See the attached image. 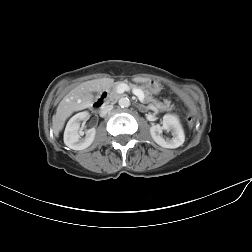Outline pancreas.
I'll use <instances>...</instances> for the list:
<instances>
[{
	"label": "pancreas",
	"mask_w": 252,
	"mask_h": 252,
	"mask_svg": "<svg viewBox=\"0 0 252 252\" xmlns=\"http://www.w3.org/2000/svg\"><path fill=\"white\" fill-rule=\"evenodd\" d=\"M120 84H123V85L128 84V85H130L131 88L136 87L137 90L142 91L144 93L145 101L151 102V104L156 105L158 108V111H171L174 107V105L171 104V102L168 100H165L164 102H160L156 99H153L152 95L147 90H145L143 86H141L139 83H136L135 81H131L129 79H125V80L119 79L118 80L117 86L111 92L112 98L118 97L117 88Z\"/></svg>",
	"instance_id": "pancreas-1"
}]
</instances>
